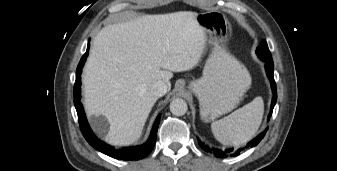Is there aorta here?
<instances>
[{"label":"aorta","mask_w":337,"mask_h":171,"mask_svg":"<svg viewBox=\"0 0 337 171\" xmlns=\"http://www.w3.org/2000/svg\"><path fill=\"white\" fill-rule=\"evenodd\" d=\"M187 110V103L181 98L173 99L170 103V111L175 116H182L187 112Z\"/></svg>","instance_id":"1"}]
</instances>
